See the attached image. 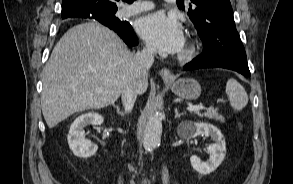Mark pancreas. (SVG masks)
I'll use <instances>...</instances> for the list:
<instances>
[{
  "instance_id": "pancreas-1",
  "label": "pancreas",
  "mask_w": 293,
  "mask_h": 184,
  "mask_svg": "<svg viewBox=\"0 0 293 184\" xmlns=\"http://www.w3.org/2000/svg\"><path fill=\"white\" fill-rule=\"evenodd\" d=\"M199 116H202V117H207L209 119H213L215 121H220L222 123L225 122V118L222 116V115H219V113L217 112L216 109H213V108H209L206 112H204L203 114H199Z\"/></svg>"
}]
</instances>
